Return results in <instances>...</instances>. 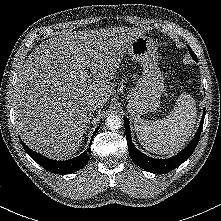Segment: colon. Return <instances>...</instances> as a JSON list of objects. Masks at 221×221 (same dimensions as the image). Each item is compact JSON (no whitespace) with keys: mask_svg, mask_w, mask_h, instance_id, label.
I'll list each match as a JSON object with an SVG mask.
<instances>
[{"mask_svg":"<svg viewBox=\"0 0 221 221\" xmlns=\"http://www.w3.org/2000/svg\"><path fill=\"white\" fill-rule=\"evenodd\" d=\"M163 74L168 77L170 75L169 70H167L166 68L163 69Z\"/></svg>","mask_w":221,"mask_h":221,"instance_id":"colon-1","label":"colon"}]
</instances>
